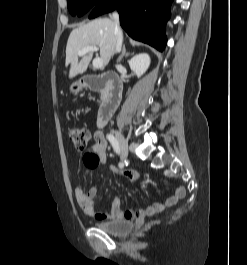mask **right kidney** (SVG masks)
Segmentation results:
<instances>
[{
	"label": "right kidney",
	"mask_w": 247,
	"mask_h": 265,
	"mask_svg": "<svg viewBox=\"0 0 247 265\" xmlns=\"http://www.w3.org/2000/svg\"><path fill=\"white\" fill-rule=\"evenodd\" d=\"M150 65V57L146 53L135 55L129 61L130 69L138 76H142Z\"/></svg>",
	"instance_id": "1"
}]
</instances>
